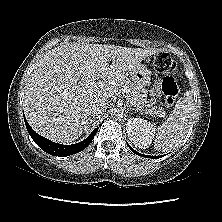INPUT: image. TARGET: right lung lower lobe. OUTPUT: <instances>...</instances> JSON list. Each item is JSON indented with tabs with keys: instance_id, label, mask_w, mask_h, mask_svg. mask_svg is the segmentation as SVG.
<instances>
[{
	"instance_id": "98d812e1",
	"label": "right lung lower lobe",
	"mask_w": 222,
	"mask_h": 222,
	"mask_svg": "<svg viewBox=\"0 0 222 222\" xmlns=\"http://www.w3.org/2000/svg\"><path fill=\"white\" fill-rule=\"evenodd\" d=\"M25 125L27 128V131L31 138L34 140V142L41 147L46 153L53 155V156H68L75 153H78L82 150H84L92 141L95 134L98 131V128H96L85 140L72 144V145H62L55 142H52L41 135L37 134L28 124L26 118H24Z\"/></svg>"
}]
</instances>
